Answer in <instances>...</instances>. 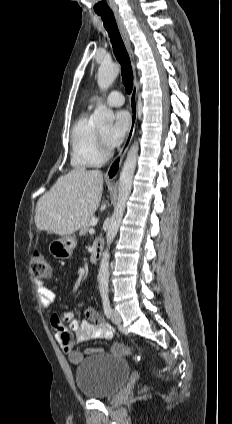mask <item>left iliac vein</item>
<instances>
[{
    "label": "left iliac vein",
    "mask_w": 232,
    "mask_h": 424,
    "mask_svg": "<svg viewBox=\"0 0 232 424\" xmlns=\"http://www.w3.org/2000/svg\"><path fill=\"white\" fill-rule=\"evenodd\" d=\"M111 320L114 324H117V325L122 322V318L116 309L111 310Z\"/></svg>",
    "instance_id": "left-iliac-vein-1"
}]
</instances>
